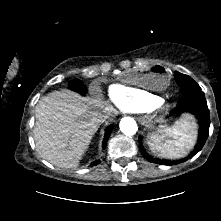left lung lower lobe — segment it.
<instances>
[{"label": "left lung lower lobe", "instance_id": "obj_1", "mask_svg": "<svg viewBox=\"0 0 221 221\" xmlns=\"http://www.w3.org/2000/svg\"><path fill=\"white\" fill-rule=\"evenodd\" d=\"M176 113H189L195 116L199 125V136L198 142L195 145L194 150L184 159L178 161H169V160H160L158 158H153L150 156L142 146V138H138L139 149L142 153L143 157L151 163L161 164V165H175L179 163H183L188 159L192 158L196 155L206 143V140L209 135V126H210V118H209V109L207 106V102L205 99L204 92L199 91L193 94H185L178 101L176 106Z\"/></svg>", "mask_w": 221, "mask_h": 221}]
</instances>
